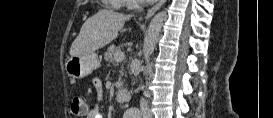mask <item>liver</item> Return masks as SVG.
<instances>
[{
	"mask_svg": "<svg viewBox=\"0 0 273 118\" xmlns=\"http://www.w3.org/2000/svg\"><path fill=\"white\" fill-rule=\"evenodd\" d=\"M130 16L112 10H99L88 18L70 47V55L92 53L113 41Z\"/></svg>",
	"mask_w": 273,
	"mask_h": 118,
	"instance_id": "liver-1",
	"label": "liver"
}]
</instances>
